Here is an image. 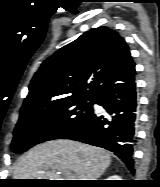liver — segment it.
Segmentation results:
<instances>
[{
    "label": "liver",
    "mask_w": 160,
    "mask_h": 187,
    "mask_svg": "<svg viewBox=\"0 0 160 187\" xmlns=\"http://www.w3.org/2000/svg\"><path fill=\"white\" fill-rule=\"evenodd\" d=\"M110 163V154L102 148L55 140L24 154L17 162L14 179L61 180L59 173L73 172L76 180H97Z\"/></svg>",
    "instance_id": "1"
}]
</instances>
